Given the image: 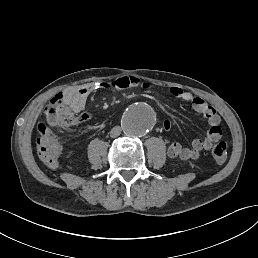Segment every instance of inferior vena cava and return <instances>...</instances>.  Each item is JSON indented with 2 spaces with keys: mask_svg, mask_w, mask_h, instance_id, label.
<instances>
[{
  "mask_svg": "<svg viewBox=\"0 0 258 258\" xmlns=\"http://www.w3.org/2000/svg\"><path fill=\"white\" fill-rule=\"evenodd\" d=\"M121 134V127L119 126H115L112 128V130L110 131V136L112 138H116Z\"/></svg>",
  "mask_w": 258,
  "mask_h": 258,
  "instance_id": "inferior-vena-cava-1",
  "label": "inferior vena cava"
}]
</instances>
